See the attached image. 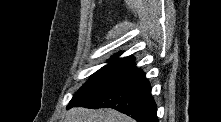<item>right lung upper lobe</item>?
<instances>
[{
  "label": "right lung upper lobe",
  "instance_id": "obj_1",
  "mask_svg": "<svg viewBox=\"0 0 221 122\" xmlns=\"http://www.w3.org/2000/svg\"><path fill=\"white\" fill-rule=\"evenodd\" d=\"M120 54H121V53H118V54L114 55L113 58L118 57ZM122 60H134V59H133L132 57H126V58H124V59H122Z\"/></svg>",
  "mask_w": 221,
  "mask_h": 122
}]
</instances>
